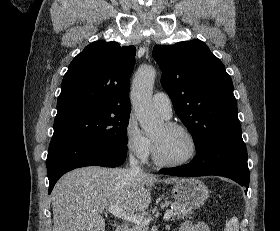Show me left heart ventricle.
<instances>
[{"instance_id":"obj_1","label":"left heart ventricle","mask_w":280,"mask_h":231,"mask_svg":"<svg viewBox=\"0 0 280 231\" xmlns=\"http://www.w3.org/2000/svg\"><path fill=\"white\" fill-rule=\"evenodd\" d=\"M152 138L160 156L165 160H182L192 153L193 146L190 138L165 123L153 133Z\"/></svg>"}]
</instances>
